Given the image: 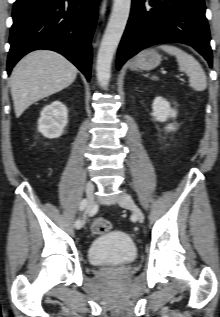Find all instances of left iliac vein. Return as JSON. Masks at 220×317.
<instances>
[{"label": "left iliac vein", "instance_id": "1", "mask_svg": "<svg viewBox=\"0 0 220 317\" xmlns=\"http://www.w3.org/2000/svg\"><path fill=\"white\" fill-rule=\"evenodd\" d=\"M118 204L121 207L130 209L135 218L140 222L143 223L144 222V214L141 211V209L135 204L134 200L127 194L122 195L118 200H117Z\"/></svg>", "mask_w": 220, "mask_h": 317}]
</instances>
